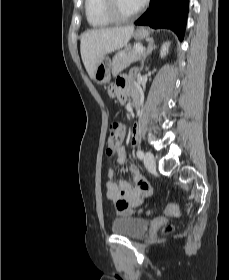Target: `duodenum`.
<instances>
[{"label": "duodenum", "instance_id": "1", "mask_svg": "<svg viewBox=\"0 0 229 280\" xmlns=\"http://www.w3.org/2000/svg\"><path fill=\"white\" fill-rule=\"evenodd\" d=\"M134 101H135L136 103L139 102V94H134Z\"/></svg>", "mask_w": 229, "mask_h": 280}]
</instances>
